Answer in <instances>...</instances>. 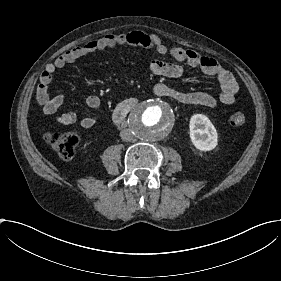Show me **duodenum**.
<instances>
[{
  "instance_id": "410a0bca",
  "label": "duodenum",
  "mask_w": 281,
  "mask_h": 281,
  "mask_svg": "<svg viewBox=\"0 0 281 281\" xmlns=\"http://www.w3.org/2000/svg\"><path fill=\"white\" fill-rule=\"evenodd\" d=\"M136 99H127L119 103L113 111V121L115 124H123L131 112V110L136 106Z\"/></svg>"
}]
</instances>
